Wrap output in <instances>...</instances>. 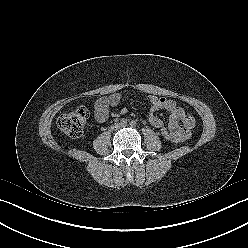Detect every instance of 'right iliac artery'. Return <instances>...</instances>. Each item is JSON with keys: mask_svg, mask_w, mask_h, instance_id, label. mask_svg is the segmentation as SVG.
I'll return each mask as SVG.
<instances>
[{"mask_svg": "<svg viewBox=\"0 0 248 248\" xmlns=\"http://www.w3.org/2000/svg\"><path fill=\"white\" fill-rule=\"evenodd\" d=\"M120 122H121V124H127V119L122 118Z\"/></svg>", "mask_w": 248, "mask_h": 248, "instance_id": "right-iliac-artery-1", "label": "right iliac artery"}]
</instances>
